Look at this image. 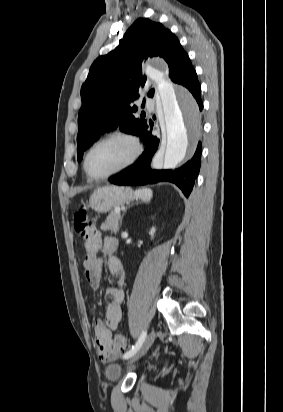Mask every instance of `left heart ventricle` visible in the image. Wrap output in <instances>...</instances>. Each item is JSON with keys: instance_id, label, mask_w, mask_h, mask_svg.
Masks as SVG:
<instances>
[{"instance_id": "obj_1", "label": "left heart ventricle", "mask_w": 283, "mask_h": 412, "mask_svg": "<svg viewBox=\"0 0 283 412\" xmlns=\"http://www.w3.org/2000/svg\"><path fill=\"white\" fill-rule=\"evenodd\" d=\"M129 141L115 138L99 144L88 158V168L95 175H103L123 165L132 155Z\"/></svg>"}]
</instances>
